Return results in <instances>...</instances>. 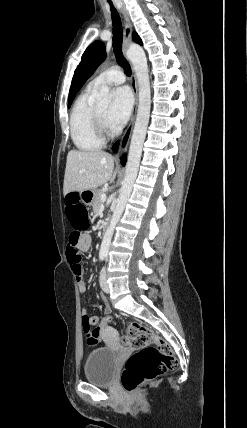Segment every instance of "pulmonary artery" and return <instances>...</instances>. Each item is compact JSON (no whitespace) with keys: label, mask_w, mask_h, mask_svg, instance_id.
I'll return each mask as SVG.
<instances>
[{"label":"pulmonary artery","mask_w":247,"mask_h":428,"mask_svg":"<svg viewBox=\"0 0 247 428\" xmlns=\"http://www.w3.org/2000/svg\"><path fill=\"white\" fill-rule=\"evenodd\" d=\"M124 82V73L118 67H113L96 76L93 80L89 82L88 87L97 89L103 84L119 85Z\"/></svg>","instance_id":"1"}]
</instances>
